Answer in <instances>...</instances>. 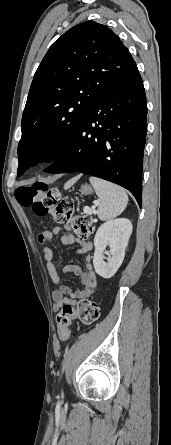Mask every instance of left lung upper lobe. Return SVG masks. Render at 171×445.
I'll list each match as a JSON object with an SVG mask.
<instances>
[{
    "mask_svg": "<svg viewBox=\"0 0 171 445\" xmlns=\"http://www.w3.org/2000/svg\"><path fill=\"white\" fill-rule=\"evenodd\" d=\"M136 67L119 37L94 21L80 23L56 40L35 72L28 94L18 176L39 161H54L88 108Z\"/></svg>",
    "mask_w": 171,
    "mask_h": 445,
    "instance_id": "obj_1",
    "label": "left lung upper lobe"
}]
</instances>
